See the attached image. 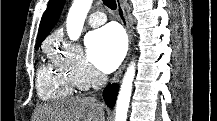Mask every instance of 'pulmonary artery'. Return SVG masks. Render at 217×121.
<instances>
[{
  "label": "pulmonary artery",
  "instance_id": "1",
  "mask_svg": "<svg viewBox=\"0 0 217 121\" xmlns=\"http://www.w3.org/2000/svg\"><path fill=\"white\" fill-rule=\"evenodd\" d=\"M107 18L102 12H94L89 17V24L92 27H99L106 22Z\"/></svg>",
  "mask_w": 217,
  "mask_h": 121
}]
</instances>
